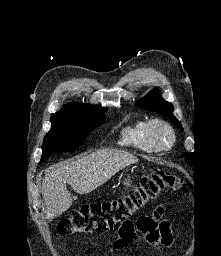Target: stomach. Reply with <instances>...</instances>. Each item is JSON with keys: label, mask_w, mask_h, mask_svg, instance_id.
<instances>
[{"label": "stomach", "mask_w": 221, "mask_h": 256, "mask_svg": "<svg viewBox=\"0 0 221 256\" xmlns=\"http://www.w3.org/2000/svg\"><path fill=\"white\" fill-rule=\"evenodd\" d=\"M123 184L126 187H130L131 184H132V181H131L130 177L125 178L124 181H123Z\"/></svg>", "instance_id": "0dacf381"}]
</instances>
